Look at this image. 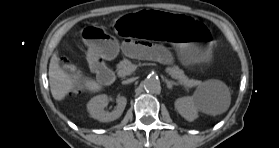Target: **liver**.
Listing matches in <instances>:
<instances>
[{"label": "liver", "mask_w": 279, "mask_h": 148, "mask_svg": "<svg viewBox=\"0 0 279 148\" xmlns=\"http://www.w3.org/2000/svg\"><path fill=\"white\" fill-rule=\"evenodd\" d=\"M49 84L52 96L57 101L63 100L69 92H74L76 89L98 92L102 88L97 81L91 78L64 71L56 52L52 55L49 64Z\"/></svg>", "instance_id": "1"}]
</instances>
